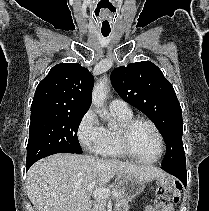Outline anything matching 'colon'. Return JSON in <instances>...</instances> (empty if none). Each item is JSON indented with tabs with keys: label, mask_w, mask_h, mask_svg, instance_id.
Returning a JSON list of instances; mask_svg holds the SVG:
<instances>
[{
	"label": "colon",
	"mask_w": 209,
	"mask_h": 211,
	"mask_svg": "<svg viewBox=\"0 0 209 211\" xmlns=\"http://www.w3.org/2000/svg\"><path fill=\"white\" fill-rule=\"evenodd\" d=\"M179 190H180V186L178 184V182H175L173 184V187L171 189H168V187H163L158 191V195L162 196L164 195L167 191H169L171 193V197L174 203H177L179 200Z\"/></svg>",
	"instance_id": "obj_1"
}]
</instances>
